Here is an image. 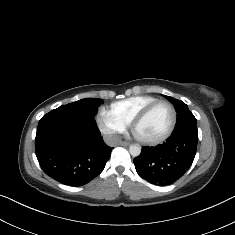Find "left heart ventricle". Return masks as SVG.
<instances>
[{
  "label": "left heart ventricle",
  "mask_w": 235,
  "mask_h": 235,
  "mask_svg": "<svg viewBox=\"0 0 235 235\" xmlns=\"http://www.w3.org/2000/svg\"><path fill=\"white\" fill-rule=\"evenodd\" d=\"M172 120V112L169 106H158L149 117L140 123L135 133L144 140H151L163 136L168 131Z\"/></svg>",
  "instance_id": "1"
}]
</instances>
